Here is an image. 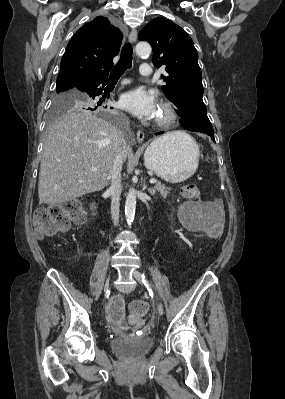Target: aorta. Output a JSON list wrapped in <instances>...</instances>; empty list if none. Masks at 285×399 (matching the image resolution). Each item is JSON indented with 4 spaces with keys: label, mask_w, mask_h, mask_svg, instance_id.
Returning <instances> with one entry per match:
<instances>
[{
    "label": "aorta",
    "mask_w": 285,
    "mask_h": 399,
    "mask_svg": "<svg viewBox=\"0 0 285 399\" xmlns=\"http://www.w3.org/2000/svg\"><path fill=\"white\" fill-rule=\"evenodd\" d=\"M136 53L139 56H149L151 54V46L147 42H139L136 45ZM135 208H136V194L133 189L129 190L126 201H125V217L128 225H131L134 216H135Z\"/></svg>",
    "instance_id": "762f6f07"
}]
</instances>
